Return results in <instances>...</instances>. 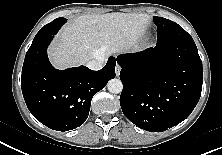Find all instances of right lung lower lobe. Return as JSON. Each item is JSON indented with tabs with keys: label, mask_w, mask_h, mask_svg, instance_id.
Segmentation results:
<instances>
[{
	"label": "right lung lower lobe",
	"mask_w": 222,
	"mask_h": 155,
	"mask_svg": "<svg viewBox=\"0 0 222 155\" xmlns=\"http://www.w3.org/2000/svg\"><path fill=\"white\" fill-rule=\"evenodd\" d=\"M55 34H48L30 46L22 76V93L29 111L45 126L68 131L81 126L88 117L92 97L115 77L116 60L92 71L85 66L57 70L49 62L47 46Z\"/></svg>",
	"instance_id": "98d812e1"
}]
</instances>
